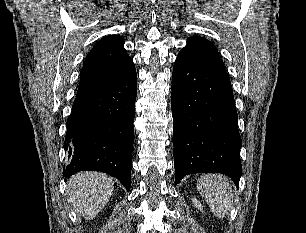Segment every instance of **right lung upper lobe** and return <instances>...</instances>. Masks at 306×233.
Here are the masks:
<instances>
[{"label": "right lung upper lobe", "instance_id": "1", "mask_svg": "<svg viewBox=\"0 0 306 233\" xmlns=\"http://www.w3.org/2000/svg\"><path fill=\"white\" fill-rule=\"evenodd\" d=\"M133 61L124 49V39L108 35L88 53L80 73L77 95L107 87L127 74Z\"/></svg>", "mask_w": 306, "mask_h": 233}]
</instances>
